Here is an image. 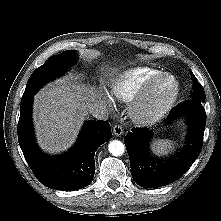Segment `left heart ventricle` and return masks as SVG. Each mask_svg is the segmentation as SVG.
Returning <instances> with one entry per match:
<instances>
[{"label":"left heart ventricle","mask_w":221,"mask_h":221,"mask_svg":"<svg viewBox=\"0 0 221 221\" xmlns=\"http://www.w3.org/2000/svg\"><path fill=\"white\" fill-rule=\"evenodd\" d=\"M173 84L170 80H163L158 83L150 93L147 106L153 107L164 101L172 91Z\"/></svg>","instance_id":"left-heart-ventricle-1"}]
</instances>
